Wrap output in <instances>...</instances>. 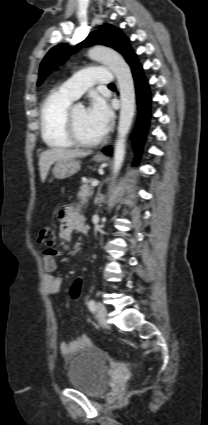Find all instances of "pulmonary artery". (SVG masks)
<instances>
[{
  "mask_svg": "<svg viewBox=\"0 0 208 425\" xmlns=\"http://www.w3.org/2000/svg\"><path fill=\"white\" fill-rule=\"evenodd\" d=\"M112 78V73L108 68L88 67L66 80L60 89L72 98L77 99L95 84H111Z\"/></svg>",
  "mask_w": 208,
  "mask_h": 425,
  "instance_id": "obj_1",
  "label": "pulmonary artery"
}]
</instances>
